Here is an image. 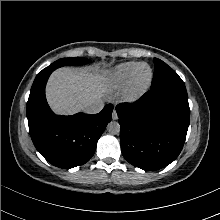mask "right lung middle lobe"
Returning a JSON list of instances; mask_svg holds the SVG:
<instances>
[{
  "label": "right lung middle lobe",
  "mask_w": 220,
  "mask_h": 220,
  "mask_svg": "<svg viewBox=\"0 0 220 220\" xmlns=\"http://www.w3.org/2000/svg\"><path fill=\"white\" fill-rule=\"evenodd\" d=\"M89 62H90V60H88L86 58H81V57L62 58V59L55 61L50 66L43 69L42 71H46V70H50V69L55 70L61 66H65V65H83V64H86Z\"/></svg>",
  "instance_id": "obj_1"
}]
</instances>
